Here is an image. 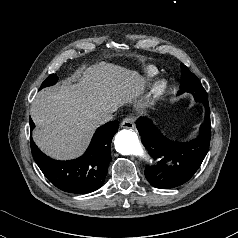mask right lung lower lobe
Instances as JSON below:
<instances>
[{
	"mask_svg": "<svg viewBox=\"0 0 238 238\" xmlns=\"http://www.w3.org/2000/svg\"><path fill=\"white\" fill-rule=\"evenodd\" d=\"M34 127L30 119V132ZM118 128V121H110L99 127L86 152L74 160L58 161L49 158L31 138L32 155L45 177L60 190L74 194L90 193L104 184L111 160V141Z\"/></svg>",
	"mask_w": 238,
	"mask_h": 238,
	"instance_id": "right-lung-lower-lobe-1",
	"label": "right lung lower lobe"
}]
</instances>
